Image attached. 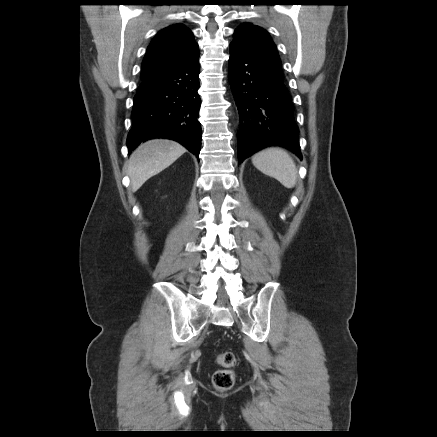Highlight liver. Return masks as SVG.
<instances>
[{"instance_id": "1", "label": "liver", "mask_w": 437, "mask_h": 437, "mask_svg": "<svg viewBox=\"0 0 437 437\" xmlns=\"http://www.w3.org/2000/svg\"><path fill=\"white\" fill-rule=\"evenodd\" d=\"M185 151L182 145L167 139H153L138 146L127 164L132 191H137L149 178L173 164Z\"/></svg>"}]
</instances>
